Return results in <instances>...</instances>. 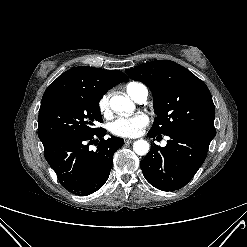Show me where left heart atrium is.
Returning a JSON list of instances; mask_svg holds the SVG:
<instances>
[{
    "label": "left heart atrium",
    "instance_id": "39dd6f15",
    "mask_svg": "<svg viewBox=\"0 0 247 247\" xmlns=\"http://www.w3.org/2000/svg\"><path fill=\"white\" fill-rule=\"evenodd\" d=\"M149 123V117L144 113H137L131 116H120L109 125L110 131L121 137H135Z\"/></svg>",
    "mask_w": 247,
    "mask_h": 247
}]
</instances>
